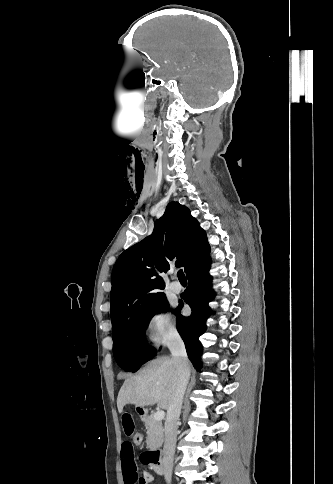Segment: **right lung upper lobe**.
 <instances>
[{
    "label": "right lung upper lobe",
    "mask_w": 333,
    "mask_h": 484,
    "mask_svg": "<svg viewBox=\"0 0 333 484\" xmlns=\"http://www.w3.org/2000/svg\"><path fill=\"white\" fill-rule=\"evenodd\" d=\"M209 249L206 233L189 209L178 202L169 203L155 222L152 235L125 250L114 265L112 334L131 314L164 295L162 275L173 259L188 275L208 257Z\"/></svg>",
    "instance_id": "right-lung-upper-lobe-1"
}]
</instances>
